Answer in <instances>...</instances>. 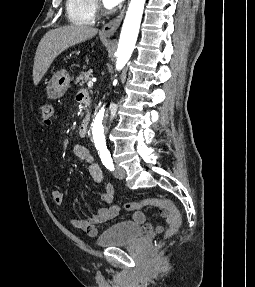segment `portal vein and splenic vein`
<instances>
[{"mask_svg":"<svg viewBox=\"0 0 255 287\" xmlns=\"http://www.w3.org/2000/svg\"><path fill=\"white\" fill-rule=\"evenodd\" d=\"M93 82H96V78H93V80H91V82H88V84H87L88 88H92Z\"/></svg>","mask_w":255,"mask_h":287,"instance_id":"portal-vein-and-splenic-vein-1","label":"portal vein and splenic vein"}]
</instances>
